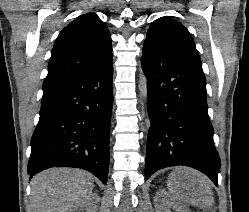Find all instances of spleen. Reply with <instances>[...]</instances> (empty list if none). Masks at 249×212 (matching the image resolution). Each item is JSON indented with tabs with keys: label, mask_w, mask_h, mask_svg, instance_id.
Wrapping results in <instances>:
<instances>
[{
	"label": "spleen",
	"mask_w": 249,
	"mask_h": 212,
	"mask_svg": "<svg viewBox=\"0 0 249 212\" xmlns=\"http://www.w3.org/2000/svg\"><path fill=\"white\" fill-rule=\"evenodd\" d=\"M170 176H174V174H170Z\"/></svg>",
	"instance_id": "obj_1"
}]
</instances>
